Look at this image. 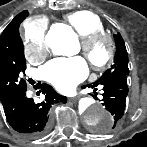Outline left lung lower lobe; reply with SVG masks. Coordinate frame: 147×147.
Returning <instances> with one entry per match:
<instances>
[{
  "label": "left lung lower lobe",
  "mask_w": 147,
  "mask_h": 147,
  "mask_svg": "<svg viewBox=\"0 0 147 147\" xmlns=\"http://www.w3.org/2000/svg\"><path fill=\"white\" fill-rule=\"evenodd\" d=\"M99 85L103 87V105L113 116V122L107 129H99V131H107L115 128L116 124L122 118L125 109L126 97L128 94L127 75H121L102 81ZM85 87V86H83ZM97 90V86L88 85Z\"/></svg>",
  "instance_id": "obj_1"
}]
</instances>
